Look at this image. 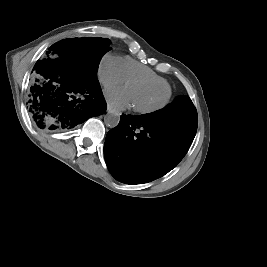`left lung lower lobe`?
Returning a JSON list of instances; mask_svg holds the SVG:
<instances>
[{
  "mask_svg": "<svg viewBox=\"0 0 267 267\" xmlns=\"http://www.w3.org/2000/svg\"><path fill=\"white\" fill-rule=\"evenodd\" d=\"M196 130L197 123L185 119L121 115L105 140L109 171L126 184L153 181L182 160Z\"/></svg>",
  "mask_w": 267,
  "mask_h": 267,
  "instance_id": "left-lung-lower-lobe-1",
  "label": "left lung lower lobe"
}]
</instances>
